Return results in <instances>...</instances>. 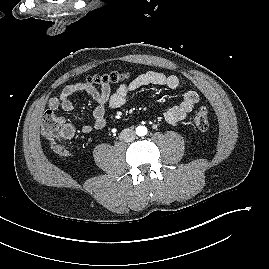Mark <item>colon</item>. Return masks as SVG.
<instances>
[{
    "instance_id": "1",
    "label": "colon",
    "mask_w": 269,
    "mask_h": 269,
    "mask_svg": "<svg viewBox=\"0 0 269 269\" xmlns=\"http://www.w3.org/2000/svg\"><path fill=\"white\" fill-rule=\"evenodd\" d=\"M129 77L130 75L128 73L113 72L103 76L89 78L86 82L98 85H111L127 80ZM193 123L199 131L203 132L208 129L209 114L206 107H201L195 112ZM66 126L67 124L61 117L47 111L42 121V133L46 138L57 141L66 137Z\"/></svg>"
}]
</instances>
